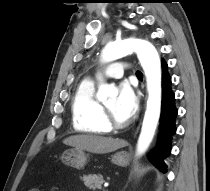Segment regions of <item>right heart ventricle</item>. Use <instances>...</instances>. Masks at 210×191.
I'll return each instance as SVG.
<instances>
[{
	"instance_id": "e07e8e85",
	"label": "right heart ventricle",
	"mask_w": 210,
	"mask_h": 191,
	"mask_svg": "<svg viewBox=\"0 0 210 191\" xmlns=\"http://www.w3.org/2000/svg\"><path fill=\"white\" fill-rule=\"evenodd\" d=\"M72 119L74 129L80 133L101 135L110 131L92 80L86 79L79 84L72 100Z\"/></svg>"
}]
</instances>
